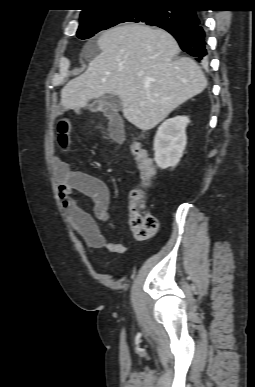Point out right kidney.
<instances>
[{
	"label": "right kidney",
	"instance_id": "obj_1",
	"mask_svg": "<svg viewBox=\"0 0 255 387\" xmlns=\"http://www.w3.org/2000/svg\"><path fill=\"white\" fill-rule=\"evenodd\" d=\"M190 120L187 116H177L164 121L154 138L155 162L161 169L176 166L187 144L186 127Z\"/></svg>",
	"mask_w": 255,
	"mask_h": 387
}]
</instances>
